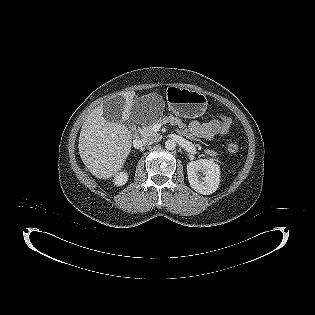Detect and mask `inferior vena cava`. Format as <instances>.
Wrapping results in <instances>:
<instances>
[{"mask_svg":"<svg viewBox=\"0 0 315 315\" xmlns=\"http://www.w3.org/2000/svg\"><path fill=\"white\" fill-rule=\"evenodd\" d=\"M160 140V137L158 136H145L139 141L138 146H143L147 144H153L155 142H158Z\"/></svg>","mask_w":315,"mask_h":315,"instance_id":"602c4592","label":"inferior vena cava"}]
</instances>
